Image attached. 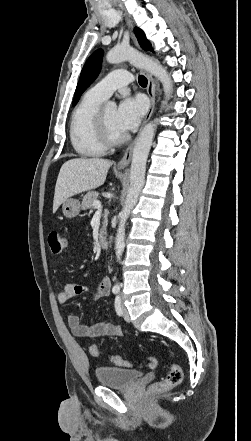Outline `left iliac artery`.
Listing matches in <instances>:
<instances>
[{"mask_svg": "<svg viewBox=\"0 0 251 441\" xmlns=\"http://www.w3.org/2000/svg\"><path fill=\"white\" fill-rule=\"evenodd\" d=\"M115 310H116V313H117V315L118 316H121L122 315V309H121V298H120V296L118 295V296H116V298H115Z\"/></svg>", "mask_w": 251, "mask_h": 441, "instance_id": "obj_1", "label": "left iliac artery"}]
</instances>
